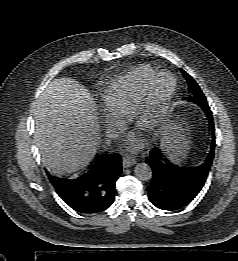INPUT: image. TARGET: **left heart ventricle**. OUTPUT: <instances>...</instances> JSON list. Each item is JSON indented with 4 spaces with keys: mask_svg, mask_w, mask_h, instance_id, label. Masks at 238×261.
Masks as SVG:
<instances>
[{
    "mask_svg": "<svg viewBox=\"0 0 238 261\" xmlns=\"http://www.w3.org/2000/svg\"><path fill=\"white\" fill-rule=\"evenodd\" d=\"M172 85V80L169 76L163 75L157 78L153 83L150 90V97L153 103L160 102L168 93ZM146 126V120L140 121L138 129L144 130Z\"/></svg>",
    "mask_w": 238,
    "mask_h": 261,
    "instance_id": "b2bd125f",
    "label": "left heart ventricle"
}]
</instances>
